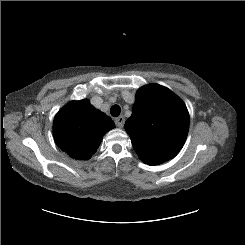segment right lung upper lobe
Returning <instances> with one entry per match:
<instances>
[{
  "label": "right lung upper lobe",
  "instance_id": "right-lung-upper-lobe-1",
  "mask_svg": "<svg viewBox=\"0 0 245 245\" xmlns=\"http://www.w3.org/2000/svg\"><path fill=\"white\" fill-rule=\"evenodd\" d=\"M113 128L112 119L84 99L69 102L56 114L53 134L61 150L72 158L85 160L96 152L104 134Z\"/></svg>",
  "mask_w": 245,
  "mask_h": 245
}]
</instances>
